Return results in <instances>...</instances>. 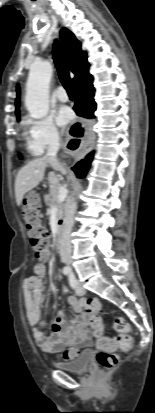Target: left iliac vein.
<instances>
[{
    "mask_svg": "<svg viewBox=\"0 0 155 413\" xmlns=\"http://www.w3.org/2000/svg\"><path fill=\"white\" fill-rule=\"evenodd\" d=\"M75 293L78 296H83L85 294V290L84 288L81 286V284L79 282L76 283V287H75Z\"/></svg>",
    "mask_w": 155,
    "mask_h": 413,
    "instance_id": "4c4485c4",
    "label": "left iliac vein"
}]
</instances>
